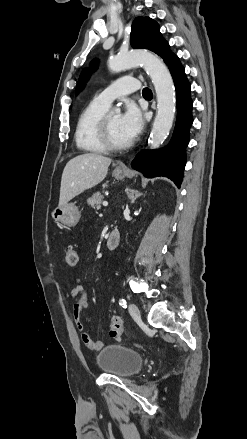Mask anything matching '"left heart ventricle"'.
<instances>
[{
  "mask_svg": "<svg viewBox=\"0 0 247 439\" xmlns=\"http://www.w3.org/2000/svg\"><path fill=\"white\" fill-rule=\"evenodd\" d=\"M109 124L111 137L115 143L123 144L129 141L121 130L119 114L111 113L109 116Z\"/></svg>",
  "mask_w": 247,
  "mask_h": 439,
  "instance_id": "1",
  "label": "left heart ventricle"
}]
</instances>
